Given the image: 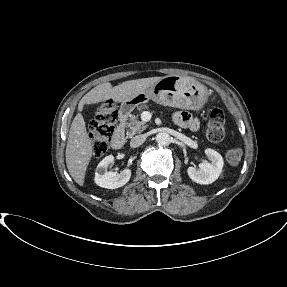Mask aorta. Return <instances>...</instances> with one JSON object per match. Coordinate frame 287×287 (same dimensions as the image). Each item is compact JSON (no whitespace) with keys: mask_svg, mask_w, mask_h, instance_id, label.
Masks as SVG:
<instances>
[{"mask_svg":"<svg viewBox=\"0 0 287 287\" xmlns=\"http://www.w3.org/2000/svg\"><path fill=\"white\" fill-rule=\"evenodd\" d=\"M156 142L161 146H167L171 143V136L166 132H160L156 135Z\"/></svg>","mask_w":287,"mask_h":287,"instance_id":"762f6f07","label":"aorta"}]
</instances>
